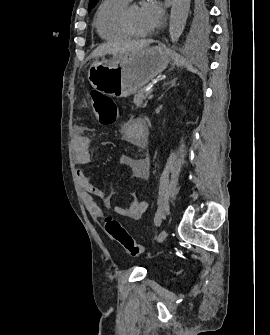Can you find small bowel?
Instances as JSON below:
<instances>
[{
	"mask_svg": "<svg viewBox=\"0 0 270 335\" xmlns=\"http://www.w3.org/2000/svg\"><path fill=\"white\" fill-rule=\"evenodd\" d=\"M124 140L136 148L146 146L148 137V127L143 119H133L126 122L122 129ZM74 140V159L79 165H88L91 163V155L89 152L90 138L86 134L85 127L76 125L73 128ZM134 177L139 179H148L150 176V161L147 158H135L126 155L122 158ZM76 176L79 185L84 193V203L90 215L95 220H100L103 215V208L96 202L95 197L102 200L105 207L112 205V198L110 195H105L104 192L90 181L82 169L76 170ZM148 204L146 201H139L135 198L128 206H116L115 211L118 215L138 220L146 212Z\"/></svg>",
	"mask_w": 270,
	"mask_h": 335,
	"instance_id": "small-bowel-1",
	"label": "small bowel"
}]
</instances>
